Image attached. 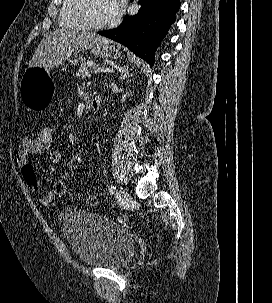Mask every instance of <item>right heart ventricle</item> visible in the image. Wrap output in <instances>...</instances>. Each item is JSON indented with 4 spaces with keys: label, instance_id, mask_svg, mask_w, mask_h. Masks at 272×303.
<instances>
[{
    "label": "right heart ventricle",
    "instance_id": "e07e8e85",
    "mask_svg": "<svg viewBox=\"0 0 272 303\" xmlns=\"http://www.w3.org/2000/svg\"><path fill=\"white\" fill-rule=\"evenodd\" d=\"M76 0H62L58 24L62 28L67 29H81L84 25L78 20L74 13Z\"/></svg>",
    "mask_w": 272,
    "mask_h": 303
}]
</instances>
